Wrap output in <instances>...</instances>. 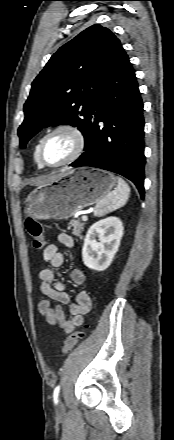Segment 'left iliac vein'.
Returning a JSON list of instances; mask_svg holds the SVG:
<instances>
[{"mask_svg":"<svg viewBox=\"0 0 174 440\" xmlns=\"http://www.w3.org/2000/svg\"><path fill=\"white\" fill-rule=\"evenodd\" d=\"M56 412H57V414H63L65 412V406L61 400L58 401V404L56 407Z\"/></svg>","mask_w":174,"mask_h":440,"instance_id":"obj_1","label":"left iliac vein"}]
</instances>
